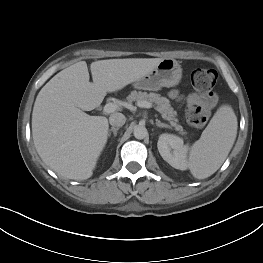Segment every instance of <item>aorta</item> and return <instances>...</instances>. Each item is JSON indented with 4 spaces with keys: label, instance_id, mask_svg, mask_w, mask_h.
I'll return each instance as SVG.
<instances>
[{
    "label": "aorta",
    "instance_id": "obj_1",
    "mask_svg": "<svg viewBox=\"0 0 263 263\" xmlns=\"http://www.w3.org/2000/svg\"><path fill=\"white\" fill-rule=\"evenodd\" d=\"M133 135L136 139H144L148 135V131L145 126H136L133 131Z\"/></svg>",
    "mask_w": 263,
    "mask_h": 263
}]
</instances>
